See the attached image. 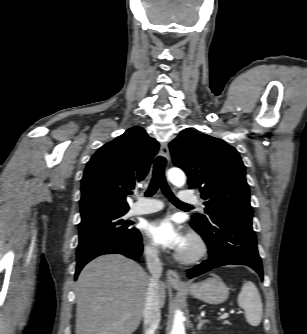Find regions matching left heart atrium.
I'll list each match as a JSON object with an SVG mask.
<instances>
[{
  "instance_id": "39dd6f15",
  "label": "left heart atrium",
  "mask_w": 307,
  "mask_h": 334,
  "mask_svg": "<svg viewBox=\"0 0 307 334\" xmlns=\"http://www.w3.org/2000/svg\"><path fill=\"white\" fill-rule=\"evenodd\" d=\"M144 232L155 245L160 247L182 250L186 244V238L170 216L149 221L144 227Z\"/></svg>"
}]
</instances>
